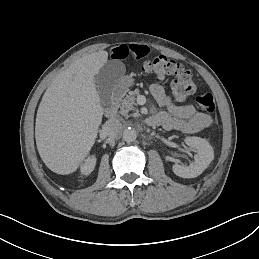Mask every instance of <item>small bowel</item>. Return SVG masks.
I'll return each instance as SVG.
<instances>
[{"label": "small bowel", "mask_w": 259, "mask_h": 259, "mask_svg": "<svg viewBox=\"0 0 259 259\" xmlns=\"http://www.w3.org/2000/svg\"><path fill=\"white\" fill-rule=\"evenodd\" d=\"M148 53L149 48L143 44H120L109 50V57L113 60L141 59ZM150 91L156 102L165 108L152 116L155 119L154 125L186 134H193L211 126L213 119L210 115L197 111L192 104H175L161 85L153 84Z\"/></svg>", "instance_id": "1"}]
</instances>
